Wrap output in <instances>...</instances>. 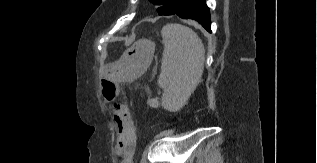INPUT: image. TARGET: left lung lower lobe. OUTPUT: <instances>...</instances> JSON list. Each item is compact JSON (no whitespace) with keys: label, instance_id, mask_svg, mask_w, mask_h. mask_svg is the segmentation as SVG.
I'll list each match as a JSON object with an SVG mask.
<instances>
[{"label":"left lung lower lobe","instance_id":"obj_1","mask_svg":"<svg viewBox=\"0 0 317 163\" xmlns=\"http://www.w3.org/2000/svg\"><path fill=\"white\" fill-rule=\"evenodd\" d=\"M174 14L184 19L198 21L211 33L210 13L205 0H184L172 15Z\"/></svg>","mask_w":317,"mask_h":163}]
</instances>
